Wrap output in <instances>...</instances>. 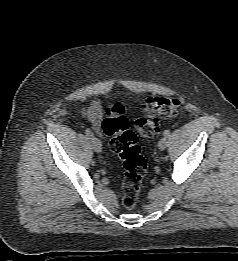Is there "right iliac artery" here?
Here are the masks:
<instances>
[{"label": "right iliac artery", "mask_w": 238, "mask_h": 261, "mask_svg": "<svg viewBox=\"0 0 238 261\" xmlns=\"http://www.w3.org/2000/svg\"><path fill=\"white\" fill-rule=\"evenodd\" d=\"M85 134H86V136L88 137V138H93L94 136H93V133H92V131L90 130V129H86L85 130Z\"/></svg>", "instance_id": "obj_1"}]
</instances>
